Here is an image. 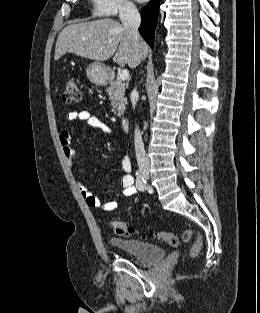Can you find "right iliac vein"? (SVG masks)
Returning <instances> with one entry per match:
<instances>
[{
  "instance_id": "obj_1",
  "label": "right iliac vein",
  "mask_w": 260,
  "mask_h": 313,
  "mask_svg": "<svg viewBox=\"0 0 260 313\" xmlns=\"http://www.w3.org/2000/svg\"><path fill=\"white\" fill-rule=\"evenodd\" d=\"M141 173L145 179L149 178V170L147 168H142Z\"/></svg>"
}]
</instances>
